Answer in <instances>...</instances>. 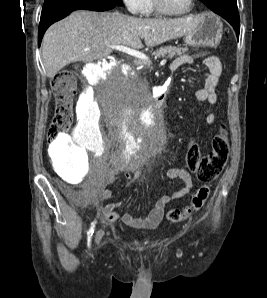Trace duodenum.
<instances>
[{
    "mask_svg": "<svg viewBox=\"0 0 267 298\" xmlns=\"http://www.w3.org/2000/svg\"><path fill=\"white\" fill-rule=\"evenodd\" d=\"M164 96L160 95L157 98H152V100H149V105H155V109H166Z\"/></svg>",
    "mask_w": 267,
    "mask_h": 298,
    "instance_id": "duodenum-1",
    "label": "duodenum"
}]
</instances>
